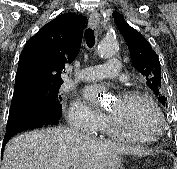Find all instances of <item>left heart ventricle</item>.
<instances>
[{
  "instance_id": "left-heart-ventricle-1",
  "label": "left heart ventricle",
  "mask_w": 177,
  "mask_h": 169,
  "mask_svg": "<svg viewBox=\"0 0 177 169\" xmlns=\"http://www.w3.org/2000/svg\"><path fill=\"white\" fill-rule=\"evenodd\" d=\"M109 114L120 120L127 133L135 136H152L161 129L157 112L144 100L118 95L108 107Z\"/></svg>"
}]
</instances>
